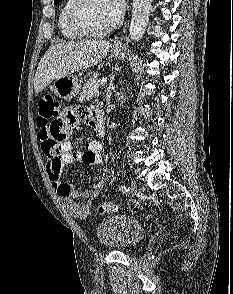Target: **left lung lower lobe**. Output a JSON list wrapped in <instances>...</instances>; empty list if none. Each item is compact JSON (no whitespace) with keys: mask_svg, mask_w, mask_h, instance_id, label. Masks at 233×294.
Masks as SVG:
<instances>
[{"mask_svg":"<svg viewBox=\"0 0 233 294\" xmlns=\"http://www.w3.org/2000/svg\"><path fill=\"white\" fill-rule=\"evenodd\" d=\"M110 37H111V38H113V34H112V35H110ZM130 45H131V44H130Z\"/></svg>","mask_w":233,"mask_h":294,"instance_id":"1","label":"left lung lower lobe"}]
</instances>
